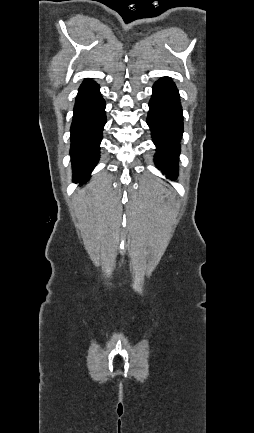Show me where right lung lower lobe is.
I'll return each instance as SVG.
<instances>
[{
    "label": "right lung lower lobe",
    "instance_id": "1",
    "mask_svg": "<svg viewBox=\"0 0 254 433\" xmlns=\"http://www.w3.org/2000/svg\"><path fill=\"white\" fill-rule=\"evenodd\" d=\"M106 123L105 101L99 85L85 80L79 88L71 125V160L74 181L83 183L99 159V145Z\"/></svg>",
    "mask_w": 254,
    "mask_h": 433
}]
</instances>
